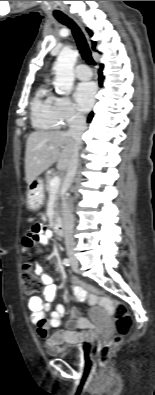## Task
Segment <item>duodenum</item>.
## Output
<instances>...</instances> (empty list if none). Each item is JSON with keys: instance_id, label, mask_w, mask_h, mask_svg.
<instances>
[{"instance_id": "410a0bca", "label": "duodenum", "mask_w": 155, "mask_h": 395, "mask_svg": "<svg viewBox=\"0 0 155 395\" xmlns=\"http://www.w3.org/2000/svg\"><path fill=\"white\" fill-rule=\"evenodd\" d=\"M54 230L59 237H63L65 230L64 224L61 218H57L54 222Z\"/></svg>"}]
</instances>
